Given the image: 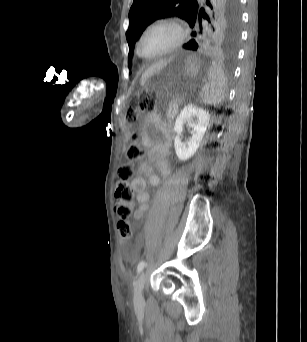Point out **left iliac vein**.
Here are the masks:
<instances>
[{
    "label": "left iliac vein",
    "mask_w": 307,
    "mask_h": 342,
    "mask_svg": "<svg viewBox=\"0 0 307 342\" xmlns=\"http://www.w3.org/2000/svg\"><path fill=\"white\" fill-rule=\"evenodd\" d=\"M145 285V273H141L138 277L134 288V301L140 303L143 301V289Z\"/></svg>",
    "instance_id": "left-iliac-vein-1"
}]
</instances>
